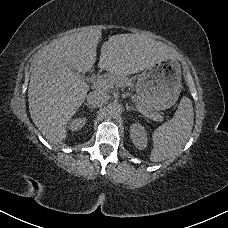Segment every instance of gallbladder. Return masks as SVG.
<instances>
[{
  "instance_id": "1",
  "label": "gallbladder",
  "mask_w": 228,
  "mask_h": 228,
  "mask_svg": "<svg viewBox=\"0 0 228 228\" xmlns=\"http://www.w3.org/2000/svg\"><path fill=\"white\" fill-rule=\"evenodd\" d=\"M71 71L74 72V73H78V70L75 69V68H72Z\"/></svg>"
}]
</instances>
